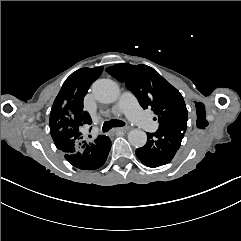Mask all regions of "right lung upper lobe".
<instances>
[{
  "instance_id": "cb5924a9",
  "label": "right lung upper lobe",
  "mask_w": 241,
  "mask_h": 241,
  "mask_svg": "<svg viewBox=\"0 0 241 241\" xmlns=\"http://www.w3.org/2000/svg\"><path fill=\"white\" fill-rule=\"evenodd\" d=\"M102 71L103 67L88 68L85 73L75 71L66 79L54 100L50 112V133L63 154H71L79 145L87 143L83 133L92 120L83 110V99Z\"/></svg>"
}]
</instances>
